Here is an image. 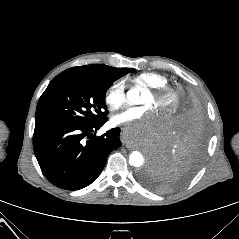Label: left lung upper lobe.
Returning <instances> with one entry per match:
<instances>
[{
  "label": "left lung upper lobe",
  "instance_id": "5c2ea615",
  "mask_svg": "<svg viewBox=\"0 0 239 239\" xmlns=\"http://www.w3.org/2000/svg\"><path fill=\"white\" fill-rule=\"evenodd\" d=\"M185 95L198 96L197 93L191 89L185 90ZM141 179L144 182V184L151 189L157 191H164L167 189L165 181L161 177H159L158 175L149 170L143 173Z\"/></svg>",
  "mask_w": 239,
  "mask_h": 239
}]
</instances>
